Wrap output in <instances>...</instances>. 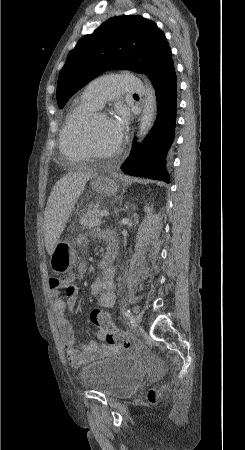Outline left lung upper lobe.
Returning <instances> with one entry per match:
<instances>
[{"label":"left lung upper lobe","mask_w":245,"mask_h":450,"mask_svg":"<svg viewBox=\"0 0 245 450\" xmlns=\"http://www.w3.org/2000/svg\"><path fill=\"white\" fill-rule=\"evenodd\" d=\"M172 59L164 33L140 15L112 17L83 36L60 71L56 97L59 108L99 74L128 69L151 77Z\"/></svg>","instance_id":"5c2ea615"}]
</instances>
